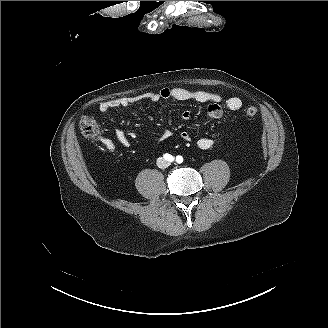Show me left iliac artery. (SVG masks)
Masks as SVG:
<instances>
[{
	"label": "left iliac artery",
	"mask_w": 328,
	"mask_h": 328,
	"mask_svg": "<svg viewBox=\"0 0 328 328\" xmlns=\"http://www.w3.org/2000/svg\"><path fill=\"white\" fill-rule=\"evenodd\" d=\"M179 160H180V161H183V158H182L181 156H177V157H176V161L178 162Z\"/></svg>",
	"instance_id": "left-iliac-artery-1"
}]
</instances>
